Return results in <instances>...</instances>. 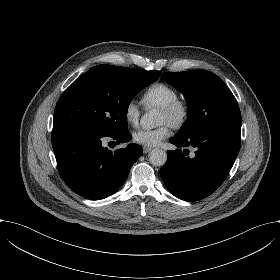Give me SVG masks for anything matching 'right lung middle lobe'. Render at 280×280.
Instances as JSON below:
<instances>
[{
  "label": "right lung middle lobe",
  "mask_w": 280,
  "mask_h": 280,
  "mask_svg": "<svg viewBox=\"0 0 280 280\" xmlns=\"http://www.w3.org/2000/svg\"><path fill=\"white\" fill-rule=\"evenodd\" d=\"M159 78L146 71L98 65L77 78L59 98L53 130L78 128L101 136L127 129V110L133 97Z\"/></svg>",
  "instance_id": "obj_1"
}]
</instances>
